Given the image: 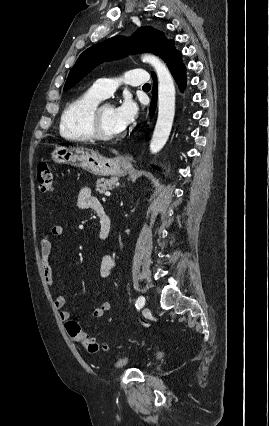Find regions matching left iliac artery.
<instances>
[{
	"label": "left iliac artery",
	"mask_w": 269,
	"mask_h": 426,
	"mask_svg": "<svg viewBox=\"0 0 269 426\" xmlns=\"http://www.w3.org/2000/svg\"><path fill=\"white\" fill-rule=\"evenodd\" d=\"M144 304H145V298L143 296H140L137 299V301L135 303V306H136L137 309H140V308H142L144 306Z\"/></svg>",
	"instance_id": "44dca946"
}]
</instances>
